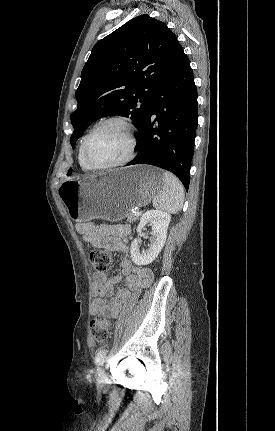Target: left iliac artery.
Instances as JSON below:
<instances>
[{
	"label": "left iliac artery",
	"mask_w": 275,
	"mask_h": 431,
	"mask_svg": "<svg viewBox=\"0 0 275 431\" xmlns=\"http://www.w3.org/2000/svg\"><path fill=\"white\" fill-rule=\"evenodd\" d=\"M106 355H107L106 349H101L100 351H98V353L95 357V364L97 366V371L101 370V368L105 362Z\"/></svg>",
	"instance_id": "left-iliac-artery-1"
}]
</instances>
